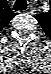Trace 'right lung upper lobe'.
<instances>
[{
  "mask_svg": "<svg viewBox=\"0 0 51 74\" xmlns=\"http://www.w3.org/2000/svg\"><path fill=\"white\" fill-rule=\"evenodd\" d=\"M16 14L11 11V9L7 8L6 9V18L5 21L3 23V27L9 22L10 19H12Z\"/></svg>",
  "mask_w": 51,
  "mask_h": 74,
  "instance_id": "right-lung-upper-lobe-1",
  "label": "right lung upper lobe"
}]
</instances>
